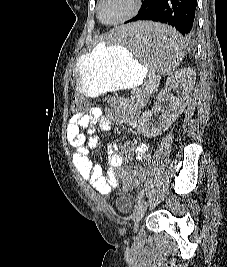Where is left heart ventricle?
<instances>
[{"instance_id":"left-heart-ventricle-1","label":"left heart ventricle","mask_w":227,"mask_h":267,"mask_svg":"<svg viewBox=\"0 0 227 267\" xmlns=\"http://www.w3.org/2000/svg\"><path fill=\"white\" fill-rule=\"evenodd\" d=\"M133 0H104L101 17L105 22H113L126 15L132 8Z\"/></svg>"}]
</instances>
